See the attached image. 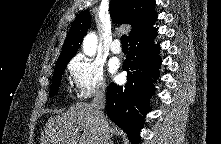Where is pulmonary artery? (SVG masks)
<instances>
[{"instance_id":"e3ab8cb5","label":"pulmonary artery","mask_w":221,"mask_h":144,"mask_svg":"<svg viewBox=\"0 0 221 144\" xmlns=\"http://www.w3.org/2000/svg\"><path fill=\"white\" fill-rule=\"evenodd\" d=\"M110 50L114 54H120L122 49L119 40H114L110 45Z\"/></svg>"}]
</instances>
